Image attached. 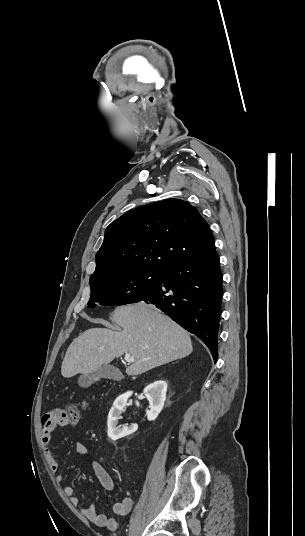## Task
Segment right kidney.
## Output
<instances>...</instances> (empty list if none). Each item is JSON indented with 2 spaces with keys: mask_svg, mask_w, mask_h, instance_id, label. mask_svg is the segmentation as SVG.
<instances>
[{
  "mask_svg": "<svg viewBox=\"0 0 305 536\" xmlns=\"http://www.w3.org/2000/svg\"><path fill=\"white\" fill-rule=\"evenodd\" d=\"M144 392L150 404L147 418L148 420H156L158 414L163 410L166 400L167 384L164 380H158V382H153V384L146 386ZM129 396H131V392L119 396L108 414V436L111 440H119V438H124V436L132 434L131 430L126 428V426L124 428H117L118 420H121L120 414L123 412Z\"/></svg>",
  "mask_w": 305,
  "mask_h": 536,
  "instance_id": "right-kidney-1",
  "label": "right kidney"
}]
</instances>
